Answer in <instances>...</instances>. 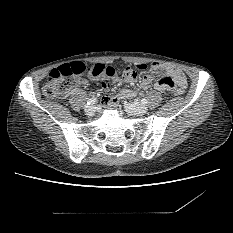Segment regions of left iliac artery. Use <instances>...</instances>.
I'll use <instances>...</instances> for the list:
<instances>
[{
  "instance_id": "obj_1",
  "label": "left iliac artery",
  "mask_w": 233,
  "mask_h": 233,
  "mask_svg": "<svg viewBox=\"0 0 233 233\" xmlns=\"http://www.w3.org/2000/svg\"><path fill=\"white\" fill-rule=\"evenodd\" d=\"M141 102H142V104H147V100H146L145 98H143V99L141 100Z\"/></svg>"
}]
</instances>
